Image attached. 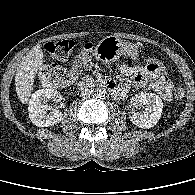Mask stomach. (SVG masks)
I'll return each mask as SVG.
<instances>
[{
	"label": "stomach",
	"instance_id": "1",
	"mask_svg": "<svg viewBox=\"0 0 195 195\" xmlns=\"http://www.w3.org/2000/svg\"><path fill=\"white\" fill-rule=\"evenodd\" d=\"M94 54L98 61L102 63H111L117 61L121 55L137 59L138 48L115 36H107L95 47Z\"/></svg>",
	"mask_w": 195,
	"mask_h": 195
}]
</instances>
